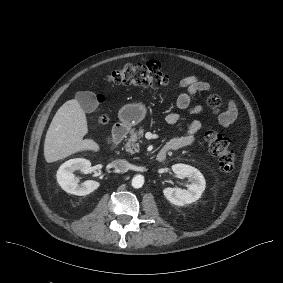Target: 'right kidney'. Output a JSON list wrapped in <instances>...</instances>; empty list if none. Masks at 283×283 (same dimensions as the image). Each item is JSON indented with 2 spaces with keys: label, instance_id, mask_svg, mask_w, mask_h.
Wrapping results in <instances>:
<instances>
[{
  "label": "right kidney",
  "instance_id": "1",
  "mask_svg": "<svg viewBox=\"0 0 283 283\" xmlns=\"http://www.w3.org/2000/svg\"><path fill=\"white\" fill-rule=\"evenodd\" d=\"M91 167V162L83 158L70 159L63 163L57 171V182L67 193L78 196H85L95 191L99 187V182L87 180L81 184L75 180L74 172L81 170L87 172Z\"/></svg>",
  "mask_w": 283,
  "mask_h": 283
}]
</instances>
